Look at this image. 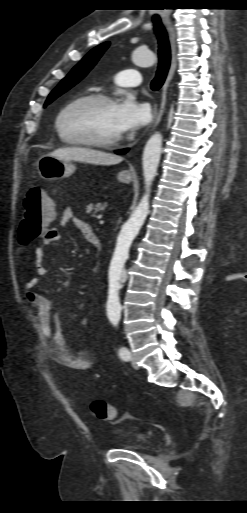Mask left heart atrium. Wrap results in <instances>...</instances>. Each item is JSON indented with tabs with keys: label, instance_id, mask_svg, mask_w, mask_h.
Returning a JSON list of instances; mask_svg holds the SVG:
<instances>
[{
	"label": "left heart atrium",
	"instance_id": "39dd6f15",
	"mask_svg": "<svg viewBox=\"0 0 247 513\" xmlns=\"http://www.w3.org/2000/svg\"><path fill=\"white\" fill-rule=\"evenodd\" d=\"M115 118L121 134L133 132L149 121L150 109L146 103L138 102L133 96H126L116 103Z\"/></svg>",
	"mask_w": 247,
	"mask_h": 513
}]
</instances>
